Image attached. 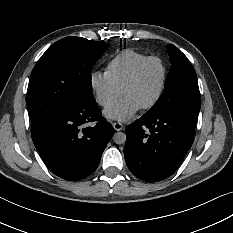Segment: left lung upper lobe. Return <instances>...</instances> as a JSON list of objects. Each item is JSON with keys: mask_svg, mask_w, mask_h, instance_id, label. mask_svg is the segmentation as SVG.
Here are the masks:
<instances>
[{"mask_svg": "<svg viewBox=\"0 0 233 233\" xmlns=\"http://www.w3.org/2000/svg\"><path fill=\"white\" fill-rule=\"evenodd\" d=\"M171 69L165 82L161 97L144 115L161 117L171 114L198 116L201 107L195 70L187 57L174 45L167 46Z\"/></svg>", "mask_w": 233, "mask_h": 233, "instance_id": "1", "label": "left lung upper lobe"}]
</instances>
